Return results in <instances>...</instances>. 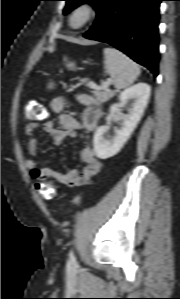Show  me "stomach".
<instances>
[{"instance_id": "stomach-1", "label": "stomach", "mask_w": 180, "mask_h": 299, "mask_svg": "<svg viewBox=\"0 0 180 299\" xmlns=\"http://www.w3.org/2000/svg\"><path fill=\"white\" fill-rule=\"evenodd\" d=\"M67 67H68V69H70V70H74V69H75V63H74V62H68V63H67Z\"/></svg>"}]
</instances>
